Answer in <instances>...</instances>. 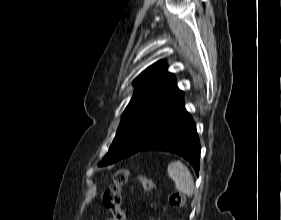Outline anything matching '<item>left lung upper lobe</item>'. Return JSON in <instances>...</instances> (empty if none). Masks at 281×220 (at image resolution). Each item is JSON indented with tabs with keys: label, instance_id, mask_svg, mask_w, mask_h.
Wrapping results in <instances>:
<instances>
[{
	"label": "left lung upper lobe",
	"instance_id": "1",
	"mask_svg": "<svg viewBox=\"0 0 281 220\" xmlns=\"http://www.w3.org/2000/svg\"><path fill=\"white\" fill-rule=\"evenodd\" d=\"M136 90L126 107L116 136L99 166L115 163L138 152L152 138L183 92L165 61H158L135 80Z\"/></svg>",
	"mask_w": 281,
	"mask_h": 220
}]
</instances>
